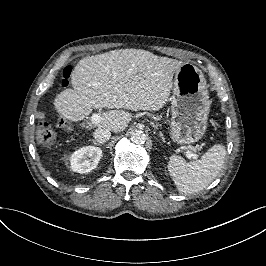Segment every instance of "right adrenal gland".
Masks as SVG:
<instances>
[{
	"mask_svg": "<svg viewBox=\"0 0 266 266\" xmlns=\"http://www.w3.org/2000/svg\"><path fill=\"white\" fill-rule=\"evenodd\" d=\"M92 142L94 143V145L96 146H104L105 148H108V145L107 144H104L102 142H97L95 141L94 139L92 140Z\"/></svg>",
	"mask_w": 266,
	"mask_h": 266,
	"instance_id": "right-adrenal-gland-1",
	"label": "right adrenal gland"
}]
</instances>
